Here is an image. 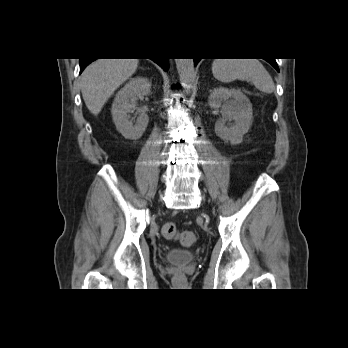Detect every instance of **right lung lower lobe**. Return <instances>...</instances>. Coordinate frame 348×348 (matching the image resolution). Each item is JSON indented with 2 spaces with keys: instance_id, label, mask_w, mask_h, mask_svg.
<instances>
[{
  "instance_id": "obj_1",
  "label": "right lung lower lobe",
  "mask_w": 348,
  "mask_h": 348,
  "mask_svg": "<svg viewBox=\"0 0 348 348\" xmlns=\"http://www.w3.org/2000/svg\"><path fill=\"white\" fill-rule=\"evenodd\" d=\"M94 60L95 59H89V58L80 59V74L85 69V67ZM152 60L155 61L158 65H160L165 71L167 70V66H168L167 58L152 59Z\"/></svg>"
}]
</instances>
